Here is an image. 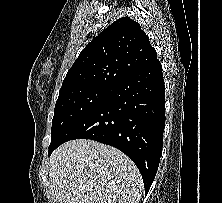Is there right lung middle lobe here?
Here are the masks:
<instances>
[{
    "label": "right lung middle lobe",
    "mask_w": 222,
    "mask_h": 203,
    "mask_svg": "<svg viewBox=\"0 0 222 203\" xmlns=\"http://www.w3.org/2000/svg\"><path fill=\"white\" fill-rule=\"evenodd\" d=\"M111 91V88L100 86L60 89L52 120L50 145H52L70 125L103 102Z\"/></svg>",
    "instance_id": "obj_1"
}]
</instances>
